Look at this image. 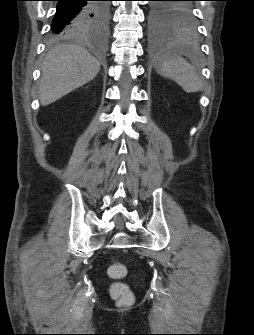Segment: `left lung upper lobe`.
Returning <instances> with one entry per match:
<instances>
[{"instance_id":"obj_1","label":"left lung upper lobe","mask_w":254,"mask_h":335,"mask_svg":"<svg viewBox=\"0 0 254 335\" xmlns=\"http://www.w3.org/2000/svg\"><path fill=\"white\" fill-rule=\"evenodd\" d=\"M148 14L150 33L153 36L194 32L196 19L193 0H149Z\"/></svg>"}]
</instances>
